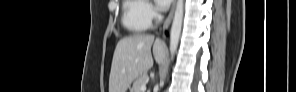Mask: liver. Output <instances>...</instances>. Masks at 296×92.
I'll return each instance as SVG.
<instances>
[{
    "label": "liver",
    "instance_id": "obj_1",
    "mask_svg": "<svg viewBox=\"0 0 296 92\" xmlns=\"http://www.w3.org/2000/svg\"><path fill=\"white\" fill-rule=\"evenodd\" d=\"M153 56L158 64L165 58L167 47L152 35L135 34L120 39L116 45L109 76V92H126L131 83L145 75L153 66Z\"/></svg>",
    "mask_w": 296,
    "mask_h": 92
}]
</instances>
